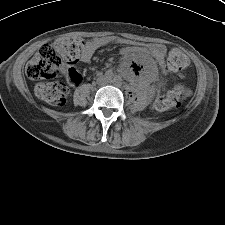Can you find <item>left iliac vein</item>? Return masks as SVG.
Instances as JSON below:
<instances>
[{
	"label": "left iliac vein",
	"instance_id": "left-iliac-vein-1",
	"mask_svg": "<svg viewBox=\"0 0 225 225\" xmlns=\"http://www.w3.org/2000/svg\"><path fill=\"white\" fill-rule=\"evenodd\" d=\"M108 82H112L111 80H109ZM116 83H119L120 81L115 80Z\"/></svg>",
	"mask_w": 225,
	"mask_h": 225
}]
</instances>
